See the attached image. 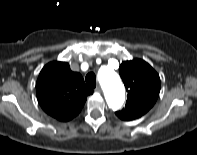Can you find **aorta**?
I'll return each instance as SVG.
<instances>
[{
	"label": "aorta",
	"mask_w": 197,
	"mask_h": 155,
	"mask_svg": "<svg viewBox=\"0 0 197 155\" xmlns=\"http://www.w3.org/2000/svg\"><path fill=\"white\" fill-rule=\"evenodd\" d=\"M98 80L109 108L119 109L125 100V89L119 75L111 67L102 66L98 71Z\"/></svg>",
	"instance_id": "1"
}]
</instances>
